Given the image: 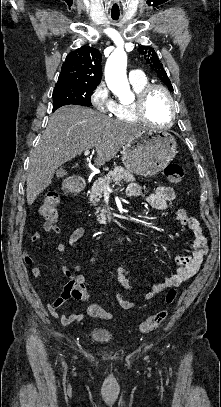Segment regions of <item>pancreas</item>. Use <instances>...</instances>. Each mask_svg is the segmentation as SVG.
Listing matches in <instances>:
<instances>
[{"mask_svg": "<svg viewBox=\"0 0 221 407\" xmlns=\"http://www.w3.org/2000/svg\"><path fill=\"white\" fill-rule=\"evenodd\" d=\"M135 180L134 175L128 171L125 170L121 166L115 167L113 170H111L106 176L99 178L96 180L91 189H90V194H89V201L91 204L96 205L98 202H100L103 192H104V183H112L114 182L115 184H118L120 182H132ZM95 215H97V221L99 223H106L107 221H111V216L107 212L105 208L100 209L96 208Z\"/></svg>", "mask_w": 221, "mask_h": 407, "instance_id": "obj_1", "label": "pancreas"}]
</instances>
